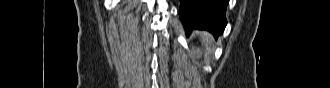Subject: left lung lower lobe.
<instances>
[{"instance_id": "0a47b994", "label": "left lung lower lobe", "mask_w": 330, "mask_h": 88, "mask_svg": "<svg viewBox=\"0 0 330 88\" xmlns=\"http://www.w3.org/2000/svg\"><path fill=\"white\" fill-rule=\"evenodd\" d=\"M229 0H180V18L189 35L193 29L207 30L217 39L227 25Z\"/></svg>"}]
</instances>
